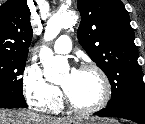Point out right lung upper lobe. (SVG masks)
Wrapping results in <instances>:
<instances>
[{
    "label": "right lung upper lobe",
    "mask_w": 145,
    "mask_h": 124,
    "mask_svg": "<svg viewBox=\"0 0 145 124\" xmlns=\"http://www.w3.org/2000/svg\"><path fill=\"white\" fill-rule=\"evenodd\" d=\"M32 35L26 0H8L0 6V56L27 58Z\"/></svg>",
    "instance_id": "right-lung-upper-lobe-1"
}]
</instances>
